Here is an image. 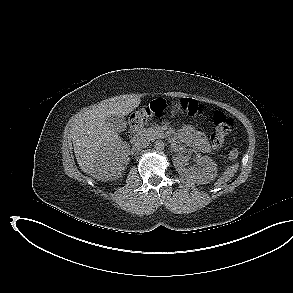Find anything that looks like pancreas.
I'll list each match as a JSON object with an SVG mask.
<instances>
[{
  "label": "pancreas",
  "mask_w": 293,
  "mask_h": 293,
  "mask_svg": "<svg viewBox=\"0 0 293 293\" xmlns=\"http://www.w3.org/2000/svg\"><path fill=\"white\" fill-rule=\"evenodd\" d=\"M143 136L150 140H154L157 138H163L165 135L162 131V129L159 126H154L151 128L144 129L142 131Z\"/></svg>",
  "instance_id": "1"
}]
</instances>
